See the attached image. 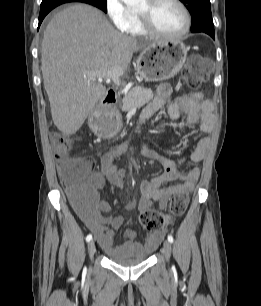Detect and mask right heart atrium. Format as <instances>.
Instances as JSON below:
<instances>
[{
	"label": "right heart atrium",
	"instance_id": "d8ad5b80",
	"mask_svg": "<svg viewBox=\"0 0 261 306\" xmlns=\"http://www.w3.org/2000/svg\"><path fill=\"white\" fill-rule=\"evenodd\" d=\"M105 9L114 27L119 31H127L132 20V11L123 0H105Z\"/></svg>",
	"mask_w": 261,
	"mask_h": 306
}]
</instances>
